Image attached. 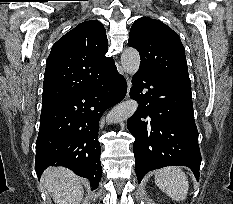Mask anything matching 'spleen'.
<instances>
[{
	"instance_id": "spleen-1",
	"label": "spleen",
	"mask_w": 233,
	"mask_h": 204,
	"mask_svg": "<svg viewBox=\"0 0 233 204\" xmlns=\"http://www.w3.org/2000/svg\"><path fill=\"white\" fill-rule=\"evenodd\" d=\"M155 183L161 191L175 201H184L187 198L188 178L178 167H166L156 171Z\"/></svg>"
}]
</instances>
